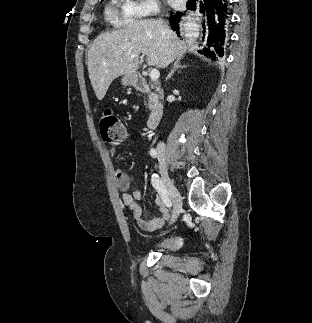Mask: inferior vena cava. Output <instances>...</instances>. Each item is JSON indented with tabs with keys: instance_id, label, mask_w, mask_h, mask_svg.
Wrapping results in <instances>:
<instances>
[{
	"instance_id": "1",
	"label": "inferior vena cava",
	"mask_w": 312,
	"mask_h": 323,
	"mask_svg": "<svg viewBox=\"0 0 312 323\" xmlns=\"http://www.w3.org/2000/svg\"><path fill=\"white\" fill-rule=\"evenodd\" d=\"M157 22H159V24H161L162 28H168V26H165L163 20H157ZM159 148H164L165 144H162V142H160V144H158Z\"/></svg>"
}]
</instances>
